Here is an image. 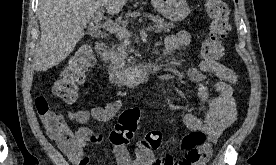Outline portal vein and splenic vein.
Here are the masks:
<instances>
[{"label":"portal vein and splenic vein","instance_id":"portal-vein-and-splenic-vein-1","mask_svg":"<svg viewBox=\"0 0 276 165\" xmlns=\"http://www.w3.org/2000/svg\"><path fill=\"white\" fill-rule=\"evenodd\" d=\"M102 12H103L102 9H99L95 13L94 22L97 25H101L102 28L106 29L110 33L116 34L119 37H130V32L125 27H121V26L115 25L110 22L101 24V20H102V16H103ZM154 29H155V27L152 25L147 27L148 31H153Z\"/></svg>","mask_w":276,"mask_h":165}]
</instances>
